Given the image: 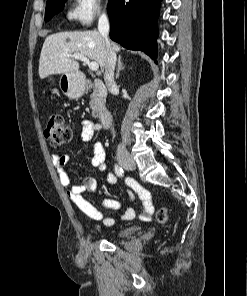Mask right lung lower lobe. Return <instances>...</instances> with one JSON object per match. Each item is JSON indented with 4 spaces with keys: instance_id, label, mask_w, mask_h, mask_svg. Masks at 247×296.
<instances>
[{
    "instance_id": "1",
    "label": "right lung lower lobe",
    "mask_w": 247,
    "mask_h": 296,
    "mask_svg": "<svg viewBox=\"0 0 247 296\" xmlns=\"http://www.w3.org/2000/svg\"><path fill=\"white\" fill-rule=\"evenodd\" d=\"M161 0H109L110 37L123 47L157 58Z\"/></svg>"
}]
</instances>
